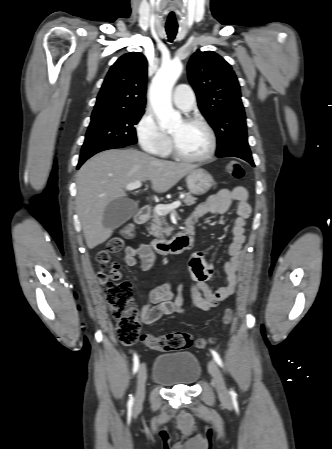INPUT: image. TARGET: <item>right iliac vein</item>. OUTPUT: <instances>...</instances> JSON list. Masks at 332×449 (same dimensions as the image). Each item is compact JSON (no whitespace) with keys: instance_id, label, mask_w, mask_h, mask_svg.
<instances>
[{"instance_id":"63e3f726","label":"right iliac vein","mask_w":332,"mask_h":449,"mask_svg":"<svg viewBox=\"0 0 332 449\" xmlns=\"http://www.w3.org/2000/svg\"><path fill=\"white\" fill-rule=\"evenodd\" d=\"M147 379V370L146 365L142 363L140 365L138 374H137V388H136V395H135V405L139 406L145 397V383Z\"/></svg>"}]
</instances>
